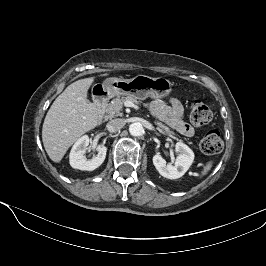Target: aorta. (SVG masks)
<instances>
[{
    "instance_id": "1",
    "label": "aorta",
    "mask_w": 266,
    "mask_h": 266,
    "mask_svg": "<svg viewBox=\"0 0 266 266\" xmlns=\"http://www.w3.org/2000/svg\"><path fill=\"white\" fill-rule=\"evenodd\" d=\"M129 132L132 136H140L144 132V129L141 123L135 122L129 126Z\"/></svg>"
}]
</instances>
